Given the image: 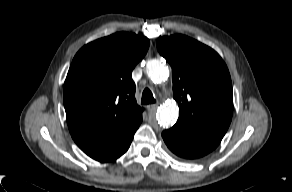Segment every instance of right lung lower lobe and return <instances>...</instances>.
<instances>
[{
	"label": "right lung lower lobe",
	"instance_id": "right-lung-lower-lobe-1",
	"mask_svg": "<svg viewBox=\"0 0 292 192\" xmlns=\"http://www.w3.org/2000/svg\"><path fill=\"white\" fill-rule=\"evenodd\" d=\"M141 121L142 119L117 133L105 136H79L74 138V141L89 157L100 162L113 161L128 150Z\"/></svg>",
	"mask_w": 292,
	"mask_h": 192
}]
</instances>
